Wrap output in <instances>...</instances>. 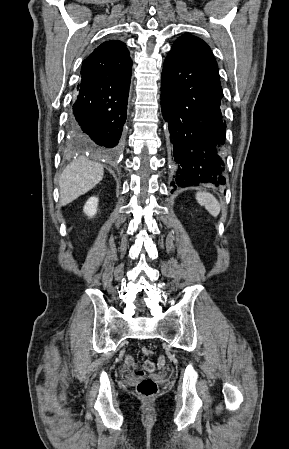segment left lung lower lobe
<instances>
[{
    "mask_svg": "<svg viewBox=\"0 0 289 449\" xmlns=\"http://www.w3.org/2000/svg\"><path fill=\"white\" fill-rule=\"evenodd\" d=\"M222 97L217 68L199 56L169 52L162 72L161 108L168 127L167 147L174 163V189L226 183Z\"/></svg>",
    "mask_w": 289,
    "mask_h": 449,
    "instance_id": "left-lung-lower-lobe-1",
    "label": "left lung lower lobe"
}]
</instances>
